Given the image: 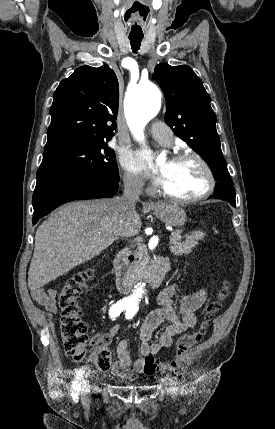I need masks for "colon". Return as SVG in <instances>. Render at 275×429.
<instances>
[{"instance_id":"obj_1","label":"colon","mask_w":275,"mask_h":429,"mask_svg":"<svg viewBox=\"0 0 275 429\" xmlns=\"http://www.w3.org/2000/svg\"><path fill=\"white\" fill-rule=\"evenodd\" d=\"M93 277L91 268L84 269L69 278L58 293V306L61 313V336L65 352L76 362L89 357L100 370H108L111 366V352L105 342L98 341V346L88 355L87 326L80 317L78 296ZM230 293V282L224 281L217 298L210 302L204 310L197 328L179 338L176 345V358L171 370L180 374L191 364V349L205 336L210 322L221 309ZM157 368L154 358L146 362V374H152Z\"/></svg>"}]
</instances>
